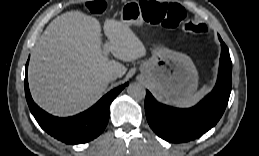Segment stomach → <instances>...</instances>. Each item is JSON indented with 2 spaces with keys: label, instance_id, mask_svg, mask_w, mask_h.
I'll return each instance as SVG.
<instances>
[{
  "label": "stomach",
  "instance_id": "stomach-1",
  "mask_svg": "<svg viewBox=\"0 0 259 156\" xmlns=\"http://www.w3.org/2000/svg\"><path fill=\"white\" fill-rule=\"evenodd\" d=\"M140 21L141 16L133 10V5L125 4L121 22L130 25ZM152 53L141 72L154 91L171 104L193 95L198 86V71L191 58L164 47H157Z\"/></svg>",
  "mask_w": 259,
  "mask_h": 156
}]
</instances>
